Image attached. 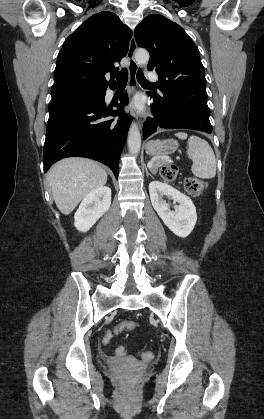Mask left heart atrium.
<instances>
[{
    "label": "left heart atrium",
    "instance_id": "left-heart-atrium-1",
    "mask_svg": "<svg viewBox=\"0 0 264 419\" xmlns=\"http://www.w3.org/2000/svg\"><path fill=\"white\" fill-rule=\"evenodd\" d=\"M135 106L137 107V108H142L143 107V102H142V99L141 98H137L136 100H135Z\"/></svg>",
    "mask_w": 264,
    "mask_h": 419
}]
</instances>
